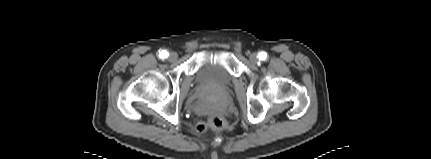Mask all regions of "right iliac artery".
<instances>
[{
    "instance_id": "1",
    "label": "right iliac artery",
    "mask_w": 431,
    "mask_h": 159,
    "mask_svg": "<svg viewBox=\"0 0 431 159\" xmlns=\"http://www.w3.org/2000/svg\"><path fill=\"white\" fill-rule=\"evenodd\" d=\"M169 56V53L166 51V50H162L160 53H159V57L161 58V59H165V58H167Z\"/></svg>"
}]
</instances>
